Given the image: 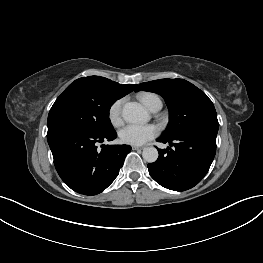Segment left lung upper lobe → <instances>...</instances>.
I'll use <instances>...</instances> for the list:
<instances>
[{
  "label": "left lung upper lobe",
  "instance_id": "1",
  "mask_svg": "<svg viewBox=\"0 0 263 263\" xmlns=\"http://www.w3.org/2000/svg\"><path fill=\"white\" fill-rule=\"evenodd\" d=\"M161 95L169 109V124L161 136L172 139L188 132L217 133L219 123L212 101L183 79H160L139 84L136 91Z\"/></svg>",
  "mask_w": 263,
  "mask_h": 263
}]
</instances>
